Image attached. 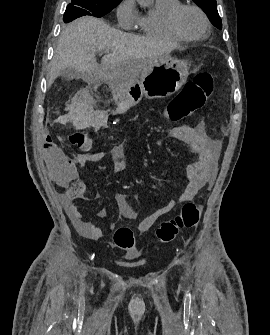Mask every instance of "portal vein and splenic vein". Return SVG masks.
Listing matches in <instances>:
<instances>
[{"mask_svg":"<svg viewBox=\"0 0 270 335\" xmlns=\"http://www.w3.org/2000/svg\"><path fill=\"white\" fill-rule=\"evenodd\" d=\"M102 52H106V50H102Z\"/></svg>","mask_w":270,"mask_h":335,"instance_id":"18ae733b","label":"portal vein and splenic vein"}]
</instances>
